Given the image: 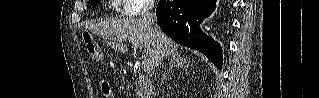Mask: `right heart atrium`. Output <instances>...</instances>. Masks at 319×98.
<instances>
[{"label": "right heart atrium", "mask_w": 319, "mask_h": 98, "mask_svg": "<svg viewBox=\"0 0 319 98\" xmlns=\"http://www.w3.org/2000/svg\"><path fill=\"white\" fill-rule=\"evenodd\" d=\"M125 6L122 12L127 16H136L146 12L149 7V1L142 0H124Z\"/></svg>", "instance_id": "right-heart-atrium-1"}]
</instances>
